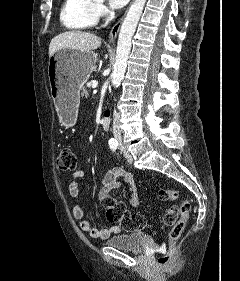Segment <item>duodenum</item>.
Wrapping results in <instances>:
<instances>
[{
    "mask_svg": "<svg viewBox=\"0 0 240 281\" xmlns=\"http://www.w3.org/2000/svg\"><path fill=\"white\" fill-rule=\"evenodd\" d=\"M110 112L108 110L104 111L101 116V125L104 130H109L110 128Z\"/></svg>",
    "mask_w": 240,
    "mask_h": 281,
    "instance_id": "410a0bca",
    "label": "duodenum"
}]
</instances>
